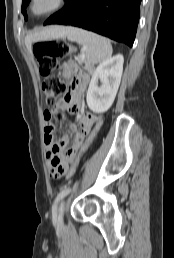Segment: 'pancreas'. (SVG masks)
I'll list each match as a JSON object with an SVG mask.
<instances>
[{
  "label": "pancreas",
  "instance_id": "obj_1",
  "mask_svg": "<svg viewBox=\"0 0 174 258\" xmlns=\"http://www.w3.org/2000/svg\"><path fill=\"white\" fill-rule=\"evenodd\" d=\"M75 59L81 65L84 63L85 64L84 69L87 70L89 73L93 72L94 67L92 65H90L89 63H87L85 59H82L80 57H76Z\"/></svg>",
  "mask_w": 174,
  "mask_h": 258
}]
</instances>
